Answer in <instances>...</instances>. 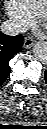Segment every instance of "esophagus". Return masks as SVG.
Returning a JSON list of instances; mask_svg holds the SVG:
<instances>
[{"instance_id":"esophagus-1","label":"esophagus","mask_w":47,"mask_h":129,"mask_svg":"<svg viewBox=\"0 0 47 129\" xmlns=\"http://www.w3.org/2000/svg\"><path fill=\"white\" fill-rule=\"evenodd\" d=\"M35 41L33 40L32 37H26L24 39V47L25 48H31L34 45Z\"/></svg>"}]
</instances>
